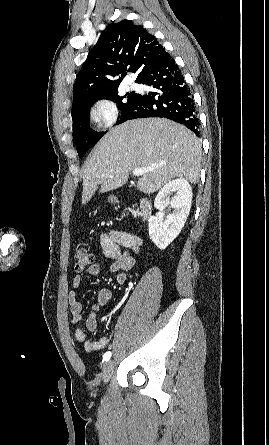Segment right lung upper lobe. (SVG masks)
Instances as JSON below:
<instances>
[{"label":"right lung upper lobe","instance_id":"obj_1","mask_svg":"<svg viewBox=\"0 0 269 445\" xmlns=\"http://www.w3.org/2000/svg\"><path fill=\"white\" fill-rule=\"evenodd\" d=\"M169 54L155 36L131 20L109 24L83 64L73 86V107L93 97L118 90L126 71L135 82ZM121 75L117 80L113 77Z\"/></svg>","mask_w":269,"mask_h":445}]
</instances>
